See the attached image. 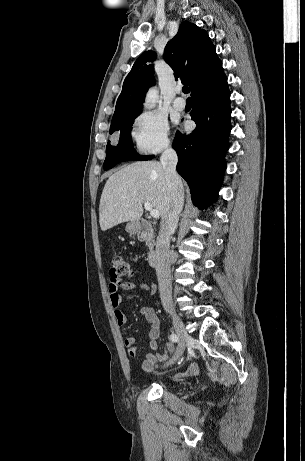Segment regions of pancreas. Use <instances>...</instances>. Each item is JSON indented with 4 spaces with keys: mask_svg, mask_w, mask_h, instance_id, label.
<instances>
[{
    "mask_svg": "<svg viewBox=\"0 0 305 461\" xmlns=\"http://www.w3.org/2000/svg\"><path fill=\"white\" fill-rule=\"evenodd\" d=\"M146 245L149 247V250H152L150 241H146Z\"/></svg>",
    "mask_w": 305,
    "mask_h": 461,
    "instance_id": "1",
    "label": "pancreas"
}]
</instances>
